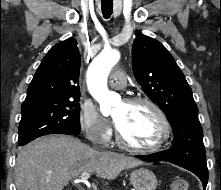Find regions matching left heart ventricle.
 <instances>
[{
    "mask_svg": "<svg viewBox=\"0 0 221 190\" xmlns=\"http://www.w3.org/2000/svg\"><path fill=\"white\" fill-rule=\"evenodd\" d=\"M114 118L124 140L132 145L148 146L158 137V118L147 105L123 102L115 109Z\"/></svg>",
    "mask_w": 221,
    "mask_h": 190,
    "instance_id": "b2bd125f",
    "label": "left heart ventricle"
}]
</instances>
